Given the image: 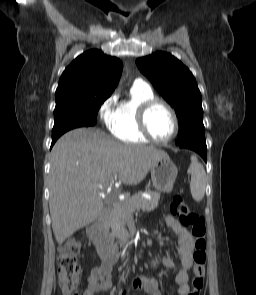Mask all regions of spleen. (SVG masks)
<instances>
[{
  "instance_id": "1",
  "label": "spleen",
  "mask_w": 256,
  "mask_h": 295,
  "mask_svg": "<svg viewBox=\"0 0 256 295\" xmlns=\"http://www.w3.org/2000/svg\"><path fill=\"white\" fill-rule=\"evenodd\" d=\"M191 175L190 190L195 201H201L205 194L206 173L195 155L191 156V165L188 169Z\"/></svg>"
}]
</instances>
